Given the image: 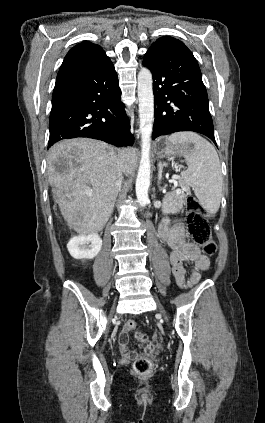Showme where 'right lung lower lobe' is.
I'll return each mask as SVG.
<instances>
[{"label":"right lung lower lobe","mask_w":265,"mask_h":423,"mask_svg":"<svg viewBox=\"0 0 265 423\" xmlns=\"http://www.w3.org/2000/svg\"><path fill=\"white\" fill-rule=\"evenodd\" d=\"M110 60L62 64L52 95L48 148L68 138L88 137L117 147L132 145L129 119Z\"/></svg>","instance_id":"right-lung-lower-lobe-1"}]
</instances>
